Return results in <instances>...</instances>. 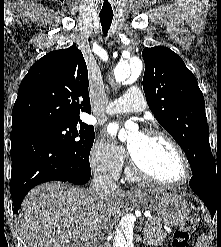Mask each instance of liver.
<instances>
[{"label": "liver", "mask_w": 221, "mask_h": 247, "mask_svg": "<svg viewBox=\"0 0 221 247\" xmlns=\"http://www.w3.org/2000/svg\"><path fill=\"white\" fill-rule=\"evenodd\" d=\"M157 195L161 190L148 189ZM131 193L116 189L100 201L91 189L62 182H49L25 197L18 226L27 247H92L111 228V216L120 213Z\"/></svg>", "instance_id": "6515ba94"}]
</instances>
